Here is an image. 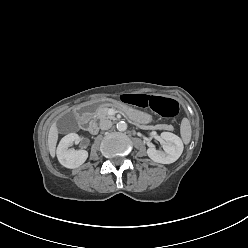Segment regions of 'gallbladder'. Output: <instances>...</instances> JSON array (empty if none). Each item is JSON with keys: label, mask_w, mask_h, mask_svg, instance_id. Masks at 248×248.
Listing matches in <instances>:
<instances>
[{"label": "gallbladder", "mask_w": 248, "mask_h": 248, "mask_svg": "<svg viewBox=\"0 0 248 248\" xmlns=\"http://www.w3.org/2000/svg\"><path fill=\"white\" fill-rule=\"evenodd\" d=\"M67 116L69 117L68 121L59 124L61 131L75 129L77 127V122L74 116L72 114H67Z\"/></svg>", "instance_id": "1"}]
</instances>
